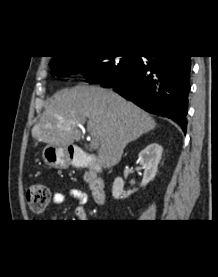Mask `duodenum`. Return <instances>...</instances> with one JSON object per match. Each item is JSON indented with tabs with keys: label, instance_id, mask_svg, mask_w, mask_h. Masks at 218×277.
<instances>
[{
	"label": "duodenum",
	"instance_id": "obj_1",
	"mask_svg": "<svg viewBox=\"0 0 218 277\" xmlns=\"http://www.w3.org/2000/svg\"><path fill=\"white\" fill-rule=\"evenodd\" d=\"M71 164L80 169H87L91 172L88 180V186L98 203H103L105 199V181L96 176L95 173L99 168L97 159L85 152L84 150H71L69 152Z\"/></svg>",
	"mask_w": 218,
	"mask_h": 277
}]
</instances>
